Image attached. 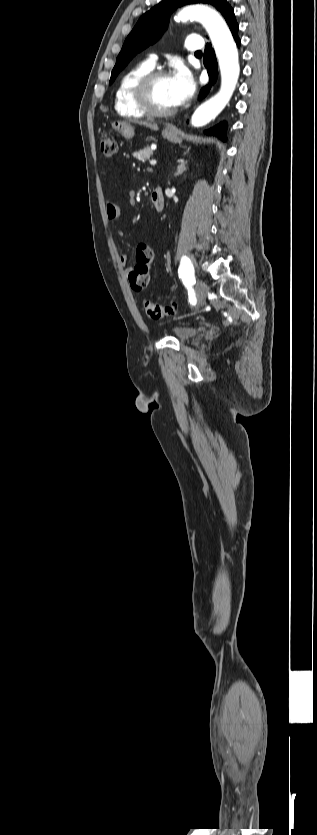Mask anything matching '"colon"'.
Returning <instances> with one entry per match:
<instances>
[{
	"mask_svg": "<svg viewBox=\"0 0 317 835\" xmlns=\"http://www.w3.org/2000/svg\"><path fill=\"white\" fill-rule=\"evenodd\" d=\"M101 152L106 158H111L117 149V142L111 135L105 134L100 142ZM151 264L149 260L139 259L129 272L128 281L130 287L140 292L147 288L151 277ZM144 309L147 316L153 320H159L174 315L175 305H160L151 301H144Z\"/></svg>",
	"mask_w": 317,
	"mask_h": 835,
	"instance_id": "1",
	"label": "colon"
}]
</instances>
